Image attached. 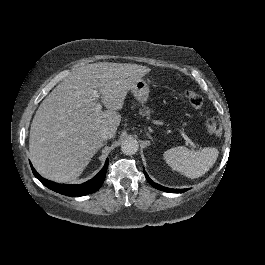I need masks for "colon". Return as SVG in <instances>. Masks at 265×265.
<instances>
[{
    "instance_id": "5ec220e1",
    "label": "colon",
    "mask_w": 265,
    "mask_h": 265,
    "mask_svg": "<svg viewBox=\"0 0 265 265\" xmlns=\"http://www.w3.org/2000/svg\"><path fill=\"white\" fill-rule=\"evenodd\" d=\"M185 97L194 109H200L202 107L203 99L201 95H199L195 91L187 90L185 92ZM206 128L210 134L215 136L220 135L222 130L221 123L216 117H210L209 119H207Z\"/></svg>"
}]
</instances>
